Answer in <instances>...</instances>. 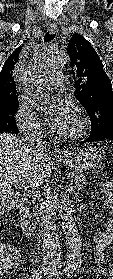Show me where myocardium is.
Instances as JSON below:
<instances>
[{"instance_id":"obj_1","label":"myocardium","mask_w":113,"mask_h":279,"mask_svg":"<svg viewBox=\"0 0 113 279\" xmlns=\"http://www.w3.org/2000/svg\"><path fill=\"white\" fill-rule=\"evenodd\" d=\"M71 107L77 114V126L76 129L70 133L60 134V136L65 139H75L81 137L87 132L89 128L88 118L80 105L72 102Z\"/></svg>"}]
</instances>
